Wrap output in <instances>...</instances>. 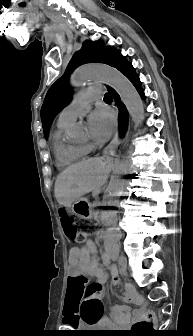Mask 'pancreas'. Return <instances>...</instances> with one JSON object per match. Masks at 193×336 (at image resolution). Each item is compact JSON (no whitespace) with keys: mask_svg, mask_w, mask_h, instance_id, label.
<instances>
[{"mask_svg":"<svg viewBox=\"0 0 193 336\" xmlns=\"http://www.w3.org/2000/svg\"><path fill=\"white\" fill-rule=\"evenodd\" d=\"M103 202L101 199H98L97 201L94 202L93 206V211L95 212L96 218H99L101 215V210L103 209Z\"/></svg>","mask_w":193,"mask_h":336,"instance_id":"obj_1","label":"pancreas"}]
</instances>
